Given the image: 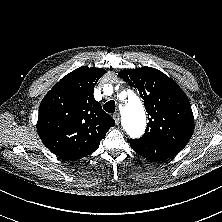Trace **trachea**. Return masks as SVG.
Listing matches in <instances>:
<instances>
[{
	"label": "trachea",
	"mask_w": 222,
	"mask_h": 222,
	"mask_svg": "<svg viewBox=\"0 0 222 222\" xmlns=\"http://www.w3.org/2000/svg\"><path fill=\"white\" fill-rule=\"evenodd\" d=\"M103 109L108 112V113H114L115 109H116V104L114 100H110L108 102H106L103 106Z\"/></svg>",
	"instance_id": "trachea-1"
}]
</instances>
